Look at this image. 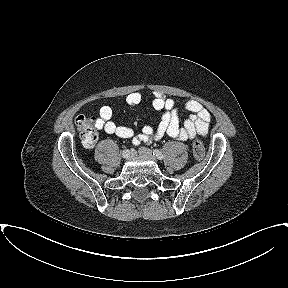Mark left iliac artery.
I'll return each instance as SVG.
<instances>
[{"mask_svg":"<svg viewBox=\"0 0 288 288\" xmlns=\"http://www.w3.org/2000/svg\"><path fill=\"white\" fill-rule=\"evenodd\" d=\"M153 155H155L160 160H162L164 158L162 152H160L159 150H154Z\"/></svg>","mask_w":288,"mask_h":288,"instance_id":"1","label":"left iliac artery"}]
</instances>
